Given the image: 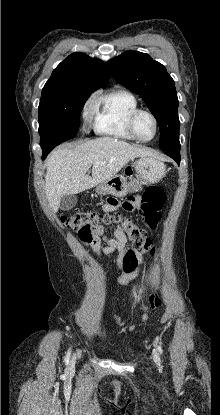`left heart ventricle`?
Returning <instances> with one entry per match:
<instances>
[{
    "instance_id": "1",
    "label": "left heart ventricle",
    "mask_w": 220,
    "mask_h": 415,
    "mask_svg": "<svg viewBox=\"0 0 220 415\" xmlns=\"http://www.w3.org/2000/svg\"><path fill=\"white\" fill-rule=\"evenodd\" d=\"M135 130L142 139L152 138L155 132L153 119L148 114H139L135 121Z\"/></svg>"
}]
</instances>
